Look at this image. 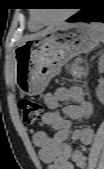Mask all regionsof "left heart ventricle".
I'll use <instances>...</instances> for the list:
<instances>
[{
    "instance_id": "left-heart-ventricle-1",
    "label": "left heart ventricle",
    "mask_w": 104,
    "mask_h": 169,
    "mask_svg": "<svg viewBox=\"0 0 104 169\" xmlns=\"http://www.w3.org/2000/svg\"><path fill=\"white\" fill-rule=\"evenodd\" d=\"M64 14V11L61 9H49V10H41L38 12V16L45 21H52Z\"/></svg>"
}]
</instances>
